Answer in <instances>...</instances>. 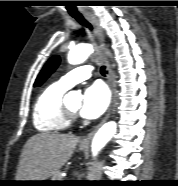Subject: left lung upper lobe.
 Listing matches in <instances>:
<instances>
[{
  "mask_svg": "<svg viewBox=\"0 0 178 186\" xmlns=\"http://www.w3.org/2000/svg\"><path fill=\"white\" fill-rule=\"evenodd\" d=\"M59 63L60 57L58 55L52 56L39 73L34 86H40L55 71Z\"/></svg>",
  "mask_w": 178,
  "mask_h": 186,
  "instance_id": "5c2ea615",
  "label": "left lung upper lobe"
}]
</instances>
